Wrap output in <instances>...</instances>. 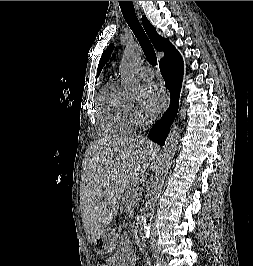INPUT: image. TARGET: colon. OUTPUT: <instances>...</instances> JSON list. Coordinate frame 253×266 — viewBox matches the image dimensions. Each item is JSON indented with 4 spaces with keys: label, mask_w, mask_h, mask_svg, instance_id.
<instances>
[{
    "label": "colon",
    "mask_w": 253,
    "mask_h": 266,
    "mask_svg": "<svg viewBox=\"0 0 253 266\" xmlns=\"http://www.w3.org/2000/svg\"><path fill=\"white\" fill-rule=\"evenodd\" d=\"M98 266H107V263H105V262H100Z\"/></svg>",
    "instance_id": "5ec220e1"
}]
</instances>
